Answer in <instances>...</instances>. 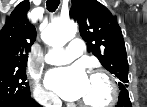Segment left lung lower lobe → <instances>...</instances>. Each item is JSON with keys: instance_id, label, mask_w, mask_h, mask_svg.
<instances>
[{"instance_id": "1", "label": "left lung lower lobe", "mask_w": 147, "mask_h": 107, "mask_svg": "<svg viewBox=\"0 0 147 107\" xmlns=\"http://www.w3.org/2000/svg\"><path fill=\"white\" fill-rule=\"evenodd\" d=\"M116 107H132L127 89L120 90Z\"/></svg>"}]
</instances>
